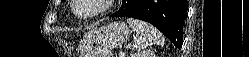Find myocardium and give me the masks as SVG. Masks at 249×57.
Returning <instances> with one entry per match:
<instances>
[{"mask_svg":"<svg viewBox=\"0 0 249 57\" xmlns=\"http://www.w3.org/2000/svg\"><path fill=\"white\" fill-rule=\"evenodd\" d=\"M81 1L82 0L71 1V11L77 18H80V19H89V18L96 17L98 15L104 14L107 11H109L113 7L114 3L116 2L115 0H98L100 5L95 11L91 13H80L77 11V7L81 3Z\"/></svg>","mask_w":249,"mask_h":57,"instance_id":"f54148a6","label":"myocardium"}]
</instances>
